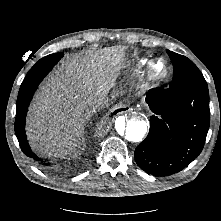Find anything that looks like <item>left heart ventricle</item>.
<instances>
[{"label": "left heart ventricle", "mask_w": 221, "mask_h": 221, "mask_svg": "<svg viewBox=\"0 0 221 221\" xmlns=\"http://www.w3.org/2000/svg\"><path fill=\"white\" fill-rule=\"evenodd\" d=\"M155 71L158 73V74H163L165 72V64L163 62H158L156 65H155Z\"/></svg>", "instance_id": "b2bd125f"}]
</instances>
